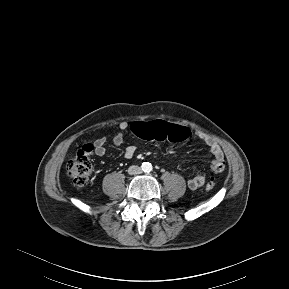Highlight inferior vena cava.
I'll list each match as a JSON object with an SVG mask.
<instances>
[{
	"instance_id": "1",
	"label": "inferior vena cava",
	"mask_w": 289,
	"mask_h": 289,
	"mask_svg": "<svg viewBox=\"0 0 289 289\" xmlns=\"http://www.w3.org/2000/svg\"><path fill=\"white\" fill-rule=\"evenodd\" d=\"M128 173L131 175H138L142 173V169L139 166L132 165L128 168Z\"/></svg>"
}]
</instances>
